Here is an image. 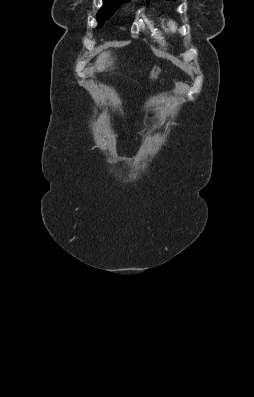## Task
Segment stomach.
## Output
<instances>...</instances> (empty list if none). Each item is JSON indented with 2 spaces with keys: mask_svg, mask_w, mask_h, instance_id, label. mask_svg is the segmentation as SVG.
<instances>
[{
  "mask_svg": "<svg viewBox=\"0 0 254 397\" xmlns=\"http://www.w3.org/2000/svg\"><path fill=\"white\" fill-rule=\"evenodd\" d=\"M161 72V69L159 66H154L151 73H150V78L151 79H156L159 75V73Z\"/></svg>",
  "mask_w": 254,
  "mask_h": 397,
  "instance_id": "obj_1",
  "label": "stomach"
}]
</instances>
